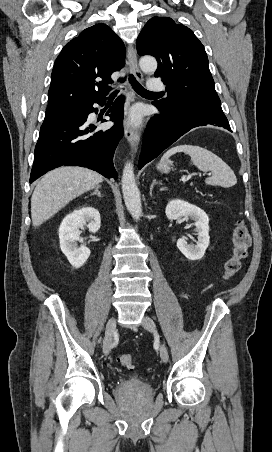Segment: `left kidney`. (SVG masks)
Instances as JSON below:
<instances>
[{
	"instance_id": "left-kidney-1",
	"label": "left kidney",
	"mask_w": 272,
	"mask_h": 452,
	"mask_svg": "<svg viewBox=\"0 0 272 452\" xmlns=\"http://www.w3.org/2000/svg\"><path fill=\"white\" fill-rule=\"evenodd\" d=\"M165 213L170 220L184 217L186 220L190 218L194 221L198 239L196 245L188 244L186 238L182 237L178 239L177 247L189 260L195 261L202 259L210 243L208 215L196 205L180 199L169 201Z\"/></svg>"
}]
</instances>
